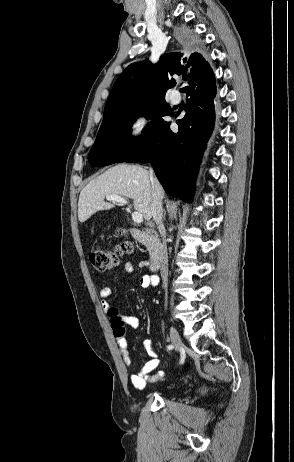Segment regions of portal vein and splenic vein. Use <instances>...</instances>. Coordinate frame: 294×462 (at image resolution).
<instances>
[{"mask_svg": "<svg viewBox=\"0 0 294 462\" xmlns=\"http://www.w3.org/2000/svg\"><path fill=\"white\" fill-rule=\"evenodd\" d=\"M106 199L108 201L118 202L120 204H127L128 203L127 200H125L123 197L118 196V195H107ZM132 219H133V221L135 223H138V224L143 222V216L139 212H133L132 213Z\"/></svg>", "mask_w": 294, "mask_h": 462, "instance_id": "18ae733b", "label": "portal vein and splenic vein"}]
</instances>
